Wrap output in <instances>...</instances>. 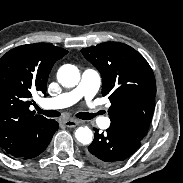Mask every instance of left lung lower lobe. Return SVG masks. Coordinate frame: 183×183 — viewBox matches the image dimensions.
Segmentation results:
<instances>
[{
  "mask_svg": "<svg viewBox=\"0 0 183 183\" xmlns=\"http://www.w3.org/2000/svg\"><path fill=\"white\" fill-rule=\"evenodd\" d=\"M94 130L95 137L86 155L100 165H114L129 158L141 144L137 137L115 127L110 126L102 134L97 129Z\"/></svg>",
  "mask_w": 183,
  "mask_h": 183,
  "instance_id": "left-lung-lower-lobe-1",
  "label": "left lung lower lobe"
}]
</instances>
